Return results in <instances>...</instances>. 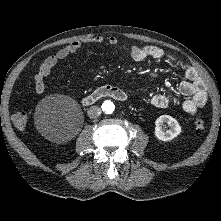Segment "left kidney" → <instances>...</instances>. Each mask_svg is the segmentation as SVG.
<instances>
[{"instance_id": "left-kidney-1", "label": "left kidney", "mask_w": 221, "mask_h": 221, "mask_svg": "<svg viewBox=\"0 0 221 221\" xmlns=\"http://www.w3.org/2000/svg\"><path fill=\"white\" fill-rule=\"evenodd\" d=\"M165 124L168 125L169 129H165ZM181 133V126L178 121L169 116L161 115L155 121V136L162 141H171Z\"/></svg>"}]
</instances>
